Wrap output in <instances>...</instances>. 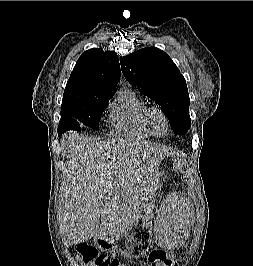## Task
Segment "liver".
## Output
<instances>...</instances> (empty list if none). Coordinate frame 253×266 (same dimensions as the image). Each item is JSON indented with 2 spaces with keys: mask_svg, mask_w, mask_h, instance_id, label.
Segmentation results:
<instances>
[{
  "mask_svg": "<svg viewBox=\"0 0 253 266\" xmlns=\"http://www.w3.org/2000/svg\"><path fill=\"white\" fill-rule=\"evenodd\" d=\"M61 143L68 168L60 229L69 242L117 237L138 223L157 190L158 166L169 150L78 133L64 134Z\"/></svg>",
  "mask_w": 253,
  "mask_h": 266,
  "instance_id": "obj_1",
  "label": "liver"
}]
</instances>
